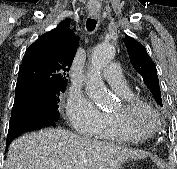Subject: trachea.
Masks as SVG:
<instances>
[{
	"mask_svg": "<svg viewBox=\"0 0 177 169\" xmlns=\"http://www.w3.org/2000/svg\"><path fill=\"white\" fill-rule=\"evenodd\" d=\"M96 20L95 19H91L89 18L86 22V27H87V30L92 32L94 29H95V26H96Z\"/></svg>",
	"mask_w": 177,
	"mask_h": 169,
	"instance_id": "obj_1",
	"label": "trachea"
}]
</instances>
